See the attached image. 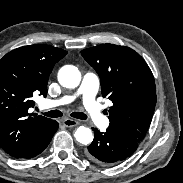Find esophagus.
Listing matches in <instances>:
<instances>
[{"mask_svg":"<svg viewBox=\"0 0 183 183\" xmlns=\"http://www.w3.org/2000/svg\"><path fill=\"white\" fill-rule=\"evenodd\" d=\"M62 124L65 127H75V126L79 125L80 122L78 120H75V119L66 118L62 121Z\"/></svg>","mask_w":183,"mask_h":183,"instance_id":"1","label":"esophagus"}]
</instances>
